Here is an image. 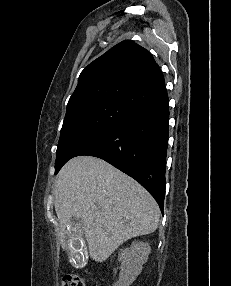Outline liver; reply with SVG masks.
I'll return each mask as SVG.
<instances>
[{
  "instance_id": "obj_1",
  "label": "liver",
  "mask_w": 231,
  "mask_h": 286,
  "mask_svg": "<svg viewBox=\"0 0 231 286\" xmlns=\"http://www.w3.org/2000/svg\"><path fill=\"white\" fill-rule=\"evenodd\" d=\"M54 205L62 248H67L72 218H80L96 262L105 261L128 239L153 233L160 217L156 201L138 182L91 156L75 157L62 167Z\"/></svg>"
}]
</instances>
